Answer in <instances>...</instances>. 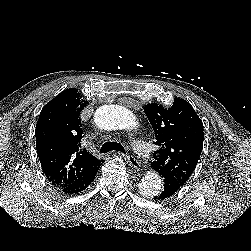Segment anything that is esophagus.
I'll list each match as a JSON object with an SVG mask.
<instances>
[{
  "instance_id": "obj_1",
  "label": "esophagus",
  "mask_w": 251,
  "mask_h": 251,
  "mask_svg": "<svg viewBox=\"0 0 251 251\" xmlns=\"http://www.w3.org/2000/svg\"><path fill=\"white\" fill-rule=\"evenodd\" d=\"M117 154L122 156V153H120V152H118ZM127 162L129 163V165L133 169H135L137 171H140V169H141V161L138 158H136L134 155H128L127 156Z\"/></svg>"
}]
</instances>
